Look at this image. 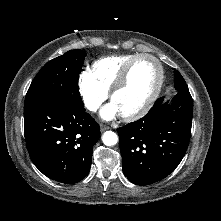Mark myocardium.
Returning a JSON list of instances; mask_svg holds the SVG:
<instances>
[{"label": "myocardium", "mask_w": 221, "mask_h": 221, "mask_svg": "<svg viewBox=\"0 0 221 221\" xmlns=\"http://www.w3.org/2000/svg\"><path fill=\"white\" fill-rule=\"evenodd\" d=\"M141 59H150L155 62L159 72L158 82L154 91L152 92L146 103L139 110L129 114H121V117L125 121H135L145 116L150 111V109L156 102L157 98L159 97L164 84L165 73L163 65L159 61V59L151 54H139L135 56L133 59H131L119 73L117 79L115 80L113 86L110 89L109 92L110 99L113 100L115 94L123 88V86L125 85L128 79L131 69Z\"/></svg>", "instance_id": "myocardium-1"}]
</instances>
